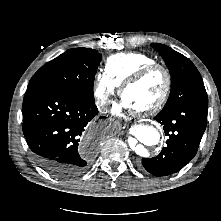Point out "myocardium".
Segmentation results:
<instances>
[{
  "instance_id": "obj_1",
  "label": "myocardium",
  "mask_w": 221,
  "mask_h": 221,
  "mask_svg": "<svg viewBox=\"0 0 221 221\" xmlns=\"http://www.w3.org/2000/svg\"><path fill=\"white\" fill-rule=\"evenodd\" d=\"M156 71H160L164 76L165 80L164 91L160 96V98L156 102H154L151 106L144 109L135 110L136 114L138 115L146 116L154 114L160 111L167 103L172 89V78L169 70L165 66L159 63H152L140 68L132 76H130L122 85L121 95L124 98L125 92L130 86L142 81L144 78H146L147 76L151 75Z\"/></svg>"
}]
</instances>
